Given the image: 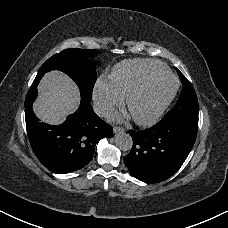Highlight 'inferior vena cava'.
Returning a JSON list of instances; mask_svg holds the SVG:
<instances>
[{"label": "inferior vena cava", "instance_id": "inferior-vena-cava-1", "mask_svg": "<svg viewBox=\"0 0 228 228\" xmlns=\"http://www.w3.org/2000/svg\"><path fill=\"white\" fill-rule=\"evenodd\" d=\"M111 108L112 106L106 101L96 99L93 102V110L98 116H105Z\"/></svg>", "mask_w": 228, "mask_h": 228}]
</instances>
